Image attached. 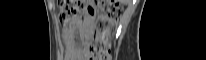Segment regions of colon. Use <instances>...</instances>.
<instances>
[{
    "label": "colon",
    "instance_id": "obj_1",
    "mask_svg": "<svg viewBox=\"0 0 206 60\" xmlns=\"http://www.w3.org/2000/svg\"><path fill=\"white\" fill-rule=\"evenodd\" d=\"M59 20L63 24H72L84 10L82 1L63 0L59 2ZM90 15L99 14L95 34L91 41L87 42L83 55L88 60H109L111 37L115 30L122 8L115 0H99L95 7H89Z\"/></svg>",
    "mask_w": 206,
    "mask_h": 60
}]
</instances>
